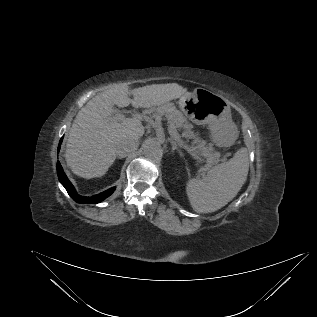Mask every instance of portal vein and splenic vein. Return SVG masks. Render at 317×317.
<instances>
[{"label":"portal vein and splenic vein","mask_w":317,"mask_h":317,"mask_svg":"<svg viewBox=\"0 0 317 317\" xmlns=\"http://www.w3.org/2000/svg\"><path fill=\"white\" fill-rule=\"evenodd\" d=\"M125 119V115L121 114V113H116L114 116L110 117L111 121H121ZM169 132L172 136H174L179 142L182 143V141L180 140L179 135L177 134V132L169 126ZM186 148V146H184Z\"/></svg>","instance_id":"portal-vein-and-splenic-vein-1"}]
</instances>
